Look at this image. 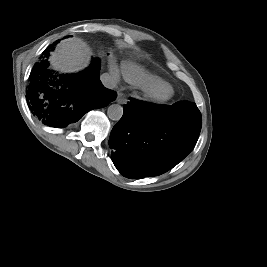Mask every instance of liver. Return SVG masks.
Returning <instances> with one entry per match:
<instances>
[{
	"label": "liver",
	"instance_id": "6515ba94",
	"mask_svg": "<svg viewBox=\"0 0 267 267\" xmlns=\"http://www.w3.org/2000/svg\"><path fill=\"white\" fill-rule=\"evenodd\" d=\"M91 50L80 38L62 40L50 57L56 70L71 73L84 69L90 60Z\"/></svg>",
	"mask_w": 267,
	"mask_h": 267
}]
</instances>
